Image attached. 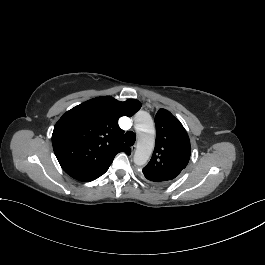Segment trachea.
<instances>
[{"mask_svg":"<svg viewBox=\"0 0 265 265\" xmlns=\"http://www.w3.org/2000/svg\"><path fill=\"white\" fill-rule=\"evenodd\" d=\"M135 134L131 131L127 132L124 136V141L127 145L132 146L135 143Z\"/></svg>","mask_w":265,"mask_h":265,"instance_id":"1","label":"trachea"}]
</instances>
